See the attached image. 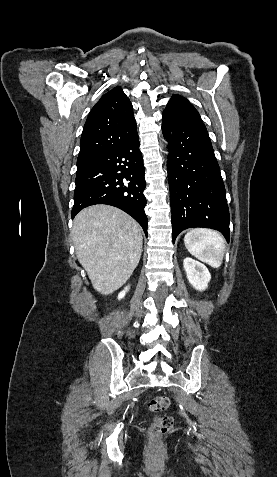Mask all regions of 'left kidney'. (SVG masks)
<instances>
[{
  "instance_id": "obj_1",
  "label": "left kidney",
  "mask_w": 277,
  "mask_h": 477,
  "mask_svg": "<svg viewBox=\"0 0 277 477\" xmlns=\"http://www.w3.org/2000/svg\"><path fill=\"white\" fill-rule=\"evenodd\" d=\"M184 270L189 283L199 291H203L208 287L211 275L204 264L190 257L183 261Z\"/></svg>"
}]
</instances>
